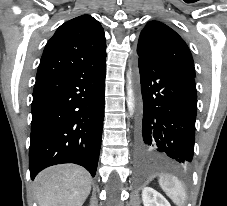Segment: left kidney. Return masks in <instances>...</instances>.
Segmentation results:
<instances>
[{"instance_id": "1", "label": "left kidney", "mask_w": 227, "mask_h": 206, "mask_svg": "<svg viewBox=\"0 0 227 206\" xmlns=\"http://www.w3.org/2000/svg\"><path fill=\"white\" fill-rule=\"evenodd\" d=\"M142 200L144 206H171L160 193L150 187L143 189Z\"/></svg>"}]
</instances>
